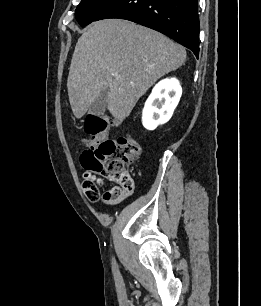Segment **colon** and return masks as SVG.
I'll return each mask as SVG.
<instances>
[{"label": "colon", "mask_w": 261, "mask_h": 306, "mask_svg": "<svg viewBox=\"0 0 261 306\" xmlns=\"http://www.w3.org/2000/svg\"><path fill=\"white\" fill-rule=\"evenodd\" d=\"M111 125L112 120L108 116L92 114L85 119V132L91 138L83 141L86 149L81 155V162L85 169L83 188L91 202L100 197L98 180L94 175L118 185L104 193L106 201L113 199L120 189L132 188L128 167L139 156L140 145L131 136H123L117 140L108 139Z\"/></svg>", "instance_id": "5ec220e1"}]
</instances>
